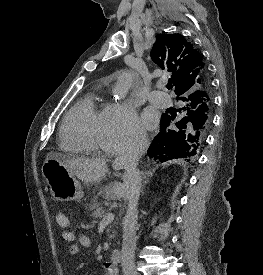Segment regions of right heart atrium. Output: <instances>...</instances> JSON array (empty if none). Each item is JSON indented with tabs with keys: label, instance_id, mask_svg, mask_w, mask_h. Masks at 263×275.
<instances>
[{
	"label": "right heart atrium",
	"instance_id": "right-heart-atrium-1",
	"mask_svg": "<svg viewBox=\"0 0 263 275\" xmlns=\"http://www.w3.org/2000/svg\"><path fill=\"white\" fill-rule=\"evenodd\" d=\"M146 133L136 117L132 107L124 103L107 105L103 129V149L117 154L142 145Z\"/></svg>",
	"mask_w": 263,
	"mask_h": 275
}]
</instances>
